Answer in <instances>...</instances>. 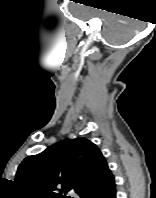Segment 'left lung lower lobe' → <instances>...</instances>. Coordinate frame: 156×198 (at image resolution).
<instances>
[{
	"instance_id": "1",
	"label": "left lung lower lobe",
	"mask_w": 156,
	"mask_h": 198,
	"mask_svg": "<svg viewBox=\"0 0 156 198\" xmlns=\"http://www.w3.org/2000/svg\"><path fill=\"white\" fill-rule=\"evenodd\" d=\"M81 198H116L115 179L109 170L96 185L84 191Z\"/></svg>"
}]
</instances>
